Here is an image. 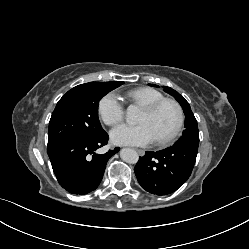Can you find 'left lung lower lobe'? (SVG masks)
I'll return each mask as SVG.
<instances>
[{
	"instance_id": "obj_1",
	"label": "left lung lower lobe",
	"mask_w": 249,
	"mask_h": 249,
	"mask_svg": "<svg viewBox=\"0 0 249 249\" xmlns=\"http://www.w3.org/2000/svg\"><path fill=\"white\" fill-rule=\"evenodd\" d=\"M198 147L171 146L161 151H147L134 169L146 191L166 195L175 192L191 175Z\"/></svg>"
}]
</instances>
